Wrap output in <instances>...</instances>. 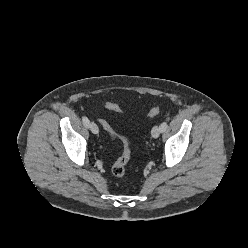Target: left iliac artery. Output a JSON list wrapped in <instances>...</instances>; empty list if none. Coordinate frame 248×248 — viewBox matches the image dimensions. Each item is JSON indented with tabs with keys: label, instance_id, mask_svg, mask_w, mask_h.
Here are the masks:
<instances>
[{
	"label": "left iliac artery",
	"instance_id": "obj_1",
	"mask_svg": "<svg viewBox=\"0 0 248 248\" xmlns=\"http://www.w3.org/2000/svg\"><path fill=\"white\" fill-rule=\"evenodd\" d=\"M167 127H168L167 122H163L160 125L161 132H164L167 129Z\"/></svg>",
	"mask_w": 248,
	"mask_h": 248
}]
</instances>
